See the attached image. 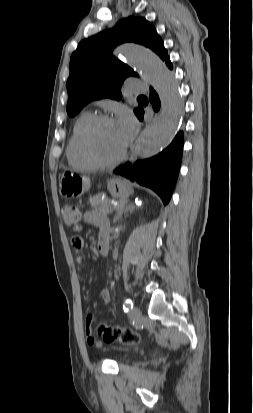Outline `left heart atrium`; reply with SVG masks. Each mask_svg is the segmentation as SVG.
<instances>
[{"label": "left heart atrium", "mask_w": 253, "mask_h": 413, "mask_svg": "<svg viewBox=\"0 0 253 413\" xmlns=\"http://www.w3.org/2000/svg\"><path fill=\"white\" fill-rule=\"evenodd\" d=\"M117 127L120 131L124 145L132 139L136 132V122L129 112H123L117 121Z\"/></svg>", "instance_id": "39dd6f15"}]
</instances>
